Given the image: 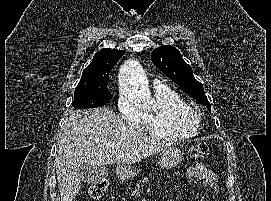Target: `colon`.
<instances>
[{
	"mask_svg": "<svg viewBox=\"0 0 271 201\" xmlns=\"http://www.w3.org/2000/svg\"><path fill=\"white\" fill-rule=\"evenodd\" d=\"M190 154L193 158H206L209 155L208 146L205 144H197L194 145L191 150ZM108 188V182L106 180H99L92 184L89 190L90 198L93 200H99L105 194Z\"/></svg>",
	"mask_w": 271,
	"mask_h": 201,
	"instance_id": "obj_1",
	"label": "colon"
}]
</instances>
